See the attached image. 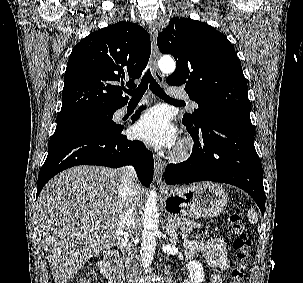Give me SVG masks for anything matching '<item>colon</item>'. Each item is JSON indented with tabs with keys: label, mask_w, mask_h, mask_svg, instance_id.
I'll return each mask as SVG.
<instances>
[{
	"label": "colon",
	"mask_w": 303,
	"mask_h": 283,
	"mask_svg": "<svg viewBox=\"0 0 303 283\" xmlns=\"http://www.w3.org/2000/svg\"><path fill=\"white\" fill-rule=\"evenodd\" d=\"M228 228L233 236L232 248L235 252V266L231 270L228 283H244L245 270L249 261L252 243L247 235V230L242 218L235 212L230 211ZM76 283H90L88 277H80Z\"/></svg>",
	"instance_id": "5ec220e1"
}]
</instances>
